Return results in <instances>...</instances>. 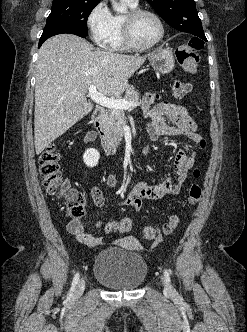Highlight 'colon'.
<instances>
[{"instance_id": "obj_1", "label": "colon", "mask_w": 247, "mask_h": 332, "mask_svg": "<svg viewBox=\"0 0 247 332\" xmlns=\"http://www.w3.org/2000/svg\"><path fill=\"white\" fill-rule=\"evenodd\" d=\"M204 44L198 38H191L186 44L181 45L176 52L177 60L180 66L188 73L194 74L198 69L199 52ZM192 89V85L184 81H175L172 85V95L176 99H182ZM200 146L204 148L206 141L202 139ZM39 171L42 182L50 195L61 197L66 201L67 215L72 219H80L85 215V201L82 193L70 188L69 182L63 177L59 164V152L55 144L49 145L39 157ZM194 178L200 176V171L195 169ZM202 189L199 184L192 183L188 189V201L195 204L200 201ZM179 216L173 214L161 228L147 227L143 231V237L146 240H159L162 234H171L179 224ZM133 223L128 218L119 219L106 224L107 233H126L132 229Z\"/></svg>"}]
</instances>
